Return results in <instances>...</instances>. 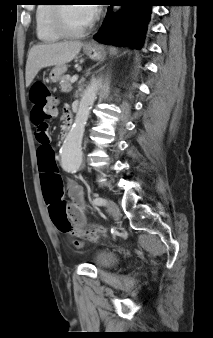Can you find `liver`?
<instances>
[{
	"label": "liver",
	"instance_id": "liver-1",
	"mask_svg": "<svg viewBox=\"0 0 213 338\" xmlns=\"http://www.w3.org/2000/svg\"><path fill=\"white\" fill-rule=\"evenodd\" d=\"M80 41L47 43L33 46L26 62V87H29L38 72L46 67L65 65L80 52Z\"/></svg>",
	"mask_w": 213,
	"mask_h": 338
}]
</instances>
